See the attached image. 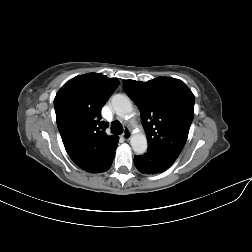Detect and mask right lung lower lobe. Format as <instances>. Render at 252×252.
Listing matches in <instances>:
<instances>
[{"instance_id": "1", "label": "right lung lower lobe", "mask_w": 252, "mask_h": 252, "mask_svg": "<svg viewBox=\"0 0 252 252\" xmlns=\"http://www.w3.org/2000/svg\"><path fill=\"white\" fill-rule=\"evenodd\" d=\"M114 156H115V153H114V155H113V159H114ZM113 159H112V162H113ZM111 164H112V163H111ZM111 164H110V166H111ZM110 166L108 167V169L110 168ZM108 169H107V170H108ZM107 170H106V171H107Z\"/></svg>"}]
</instances>
